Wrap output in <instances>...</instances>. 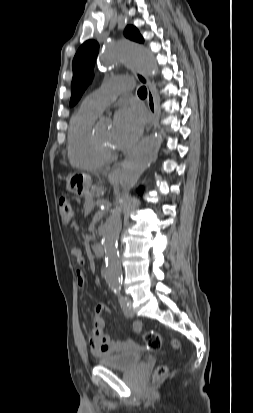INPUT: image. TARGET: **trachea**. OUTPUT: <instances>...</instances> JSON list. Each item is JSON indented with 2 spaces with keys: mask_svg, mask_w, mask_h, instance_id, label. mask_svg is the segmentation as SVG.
Returning <instances> with one entry per match:
<instances>
[{
  "mask_svg": "<svg viewBox=\"0 0 253 413\" xmlns=\"http://www.w3.org/2000/svg\"><path fill=\"white\" fill-rule=\"evenodd\" d=\"M138 95H139V96H147V89H146V87H141V88L138 90Z\"/></svg>",
  "mask_w": 253,
  "mask_h": 413,
  "instance_id": "1",
  "label": "trachea"
}]
</instances>
